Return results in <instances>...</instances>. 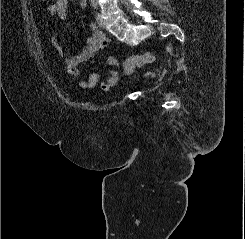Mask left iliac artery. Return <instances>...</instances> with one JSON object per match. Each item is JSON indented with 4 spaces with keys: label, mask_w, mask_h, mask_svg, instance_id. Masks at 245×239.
Segmentation results:
<instances>
[{
    "label": "left iliac artery",
    "mask_w": 245,
    "mask_h": 239,
    "mask_svg": "<svg viewBox=\"0 0 245 239\" xmlns=\"http://www.w3.org/2000/svg\"><path fill=\"white\" fill-rule=\"evenodd\" d=\"M92 6H93L94 9L97 8V2H96V0H92Z\"/></svg>",
    "instance_id": "44dca946"
}]
</instances>
